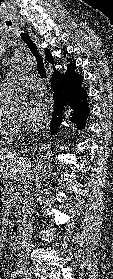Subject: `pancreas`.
I'll list each match as a JSON object with an SVG mask.
<instances>
[{
	"label": "pancreas",
	"mask_w": 113,
	"mask_h": 279,
	"mask_svg": "<svg viewBox=\"0 0 113 279\" xmlns=\"http://www.w3.org/2000/svg\"><path fill=\"white\" fill-rule=\"evenodd\" d=\"M1 195L6 205H13L16 207H20V201H21L20 193H15L13 188H8V186H5L4 189H1ZM10 198H13V200L10 201ZM19 220H20V211L18 210L16 211L15 219L9 222V228H12L15 224L19 222Z\"/></svg>",
	"instance_id": "pancreas-1"
}]
</instances>
